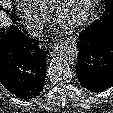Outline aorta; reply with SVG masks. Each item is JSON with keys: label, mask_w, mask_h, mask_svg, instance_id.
Wrapping results in <instances>:
<instances>
[{"label": "aorta", "mask_w": 113, "mask_h": 113, "mask_svg": "<svg viewBox=\"0 0 113 113\" xmlns=\"http://www.w3.org/2000/svg\"><path fill=\"white\" fill-rule=\"evenodd\" d=\"M57 53L66 60H78L79 50L77 45L71 40H63L56 44Z\"/></svg>", "instance_id": "aorta-1"}]
</instances>
